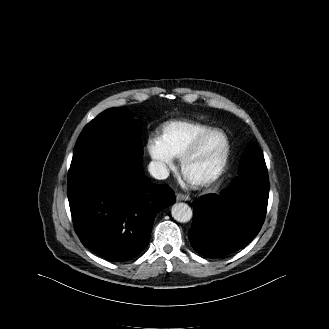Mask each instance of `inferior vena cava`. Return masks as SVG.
<instances>
[{
  "label": "inferior vena cava",
  "mask_w": 329,
  "mask_h": 329,
  "mask_svg": "<svg viewBox=\"0 0 329 329\" xmlns=\"http://www.w3.org/2000/svg\"><path fill=\"white\" fill-rule=\"evenodd\" d=\"M148 171L155 179L158 180L166 179L169 176L167 166L159 161H151L148 165Z\"/></svg>",
  "instance_id": "1"
}]
</instances>
